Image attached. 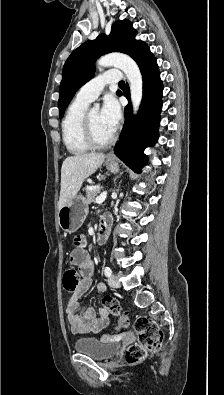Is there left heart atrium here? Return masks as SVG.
I'll use <instances>...</instances> for the list:
<instances>
[{
  "label": "left heart atrium",
  "instance_id": "1",
  "mask_svg": "<svg viewBox=\"0 0 224 395\" xmlns=\"http://www.w3.org/2000/svg\"><path fill=\"white\" fill-rule=\"evenodd\" d=\"M100 115L107 127L115 132L121 119V108L115 97L107 96L104 98Z\"/></svg>",
  "mask_w": 224,
  "mask_h": 395
}]
</instances>
